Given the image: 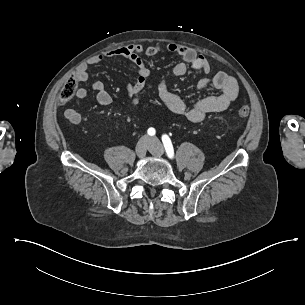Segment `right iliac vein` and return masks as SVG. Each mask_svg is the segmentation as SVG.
I'll list each match as a JSON object with an SVG mask.
<instances>
[{
	"label": "right iliac vein",
	"instance_id": "right-iliac-vein-1",
	"mask_svg": "<svg viewBox=\"0 0 305 305\" xmlns=\"http://www.w3.org/2000/svg\"><path fill=\"white\" fill-rule=\"evenodd\" d=\"M149 145H150V142L147 140V138H145V137L141 138L138 141V143L136 145V148H135L137 156L140 157V158L144 157L147 150L150 149Z\"/></svg>",
	"mask_w": 305,
	"mask_h": 305
}]
</instances>
